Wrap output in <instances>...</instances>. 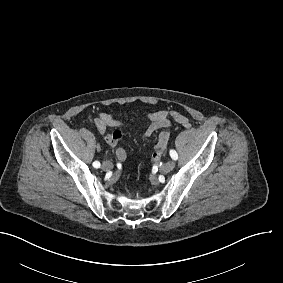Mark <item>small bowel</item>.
<instances>
[{"label":"small bowel","instance_id":"obj_1","mask_svg":"<svg viewBox=\"0 0 283 283\" xmlns=\"http://www.w3.org/2000/svg\"><path fill=\"white\" fill-rule=\"evenodd\" d=\"M147 119L148 123L144 128L143 137H148L154 134L161 127L169 128L174 122L182 124L187 128L190 127L189 119L175 110H160L149 113ZM94 124L101 134H105L104 139L106 143L112 148H115L117 159L121 162L125 161L127 157L126 151L123 148L117 147L119 141L123 137V122L109 113L97 111L94 118ZM109 128H114L115 130L111 133H106Z\"/></svg>","mask_w":283,"mask_h":283}]
</instances>
